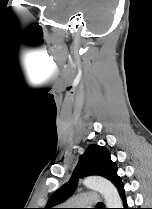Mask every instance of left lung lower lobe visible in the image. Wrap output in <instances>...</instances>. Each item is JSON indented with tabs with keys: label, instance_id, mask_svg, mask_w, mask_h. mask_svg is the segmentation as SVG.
I'll list each match as a JSON object with an SVG mask.
<instances>
[{
	"label": "left lung lower lobe",
	"instance_id": "left-lung-lower-lobe-1",
	"mask_svg": "<svg viewBox=\"0 0 152 209\" xmlns=\"http://www.w3.org/2000/svg\"><path fill=\"white\" fill-rule=\"evenodd\" d=\"M118 192H119L121 198H122L123 201H124V208H123V209H130V208L127 207L126 198H125V194H124V186H123V184H121V185L118 187Z\"/></svg>",
	"mask_w": 152,
	"mask_h": 209
}]
</instances>
